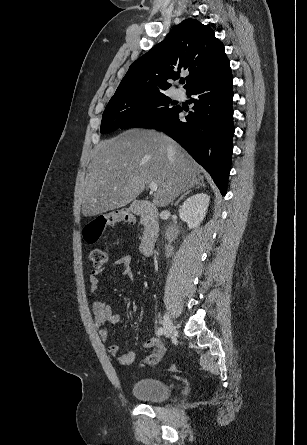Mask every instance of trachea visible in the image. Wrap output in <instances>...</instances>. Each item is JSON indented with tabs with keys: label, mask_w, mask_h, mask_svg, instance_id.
Listing matches in <instances>:
<instances>
[{
	"label": "trachea",
	"mask_w": 307,
	"mask_h": 445,
	"mask_svg": "<svg viewBox=\"0 0 307 445\" xmlns=\"http://www.w3.org/2000/svg\"><path fill=\"white\" fill-rule=\"evenodd\" d=\"M180 83H185V81L184 80H180Z\"/></svg>",
	"instance_id": "3493384b"
}]
</instances>
